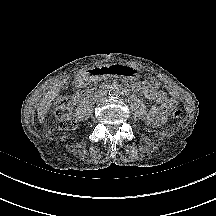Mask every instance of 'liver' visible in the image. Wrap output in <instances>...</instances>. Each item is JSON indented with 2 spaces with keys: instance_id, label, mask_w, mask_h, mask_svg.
I'll list each match as a JSON object with an SVG mask.
<instances>
[{
  "instance_id": "obj_1",
  "label": "liver",
  "mask_w": 216,
  "mask_h": 216,
  "mask_svg": "<svg viewBox=\"0 0 216 216\" xmlns=\"http://www.w3.org/2000/svg\"><path fill=\"white\" fill-rule=\"evenodd\" d=\"M60 87H61V84L55 85L53 87V90L47 92L44 99L40 103V105L38 107V118H39L40 124L44 123L45 115L47 114V112H48V110H49V108H50V106L52 104V101L54 100L57 93L59 92Z\"/></svg>"
}]
</instances>
